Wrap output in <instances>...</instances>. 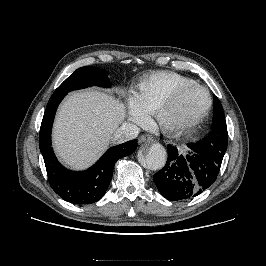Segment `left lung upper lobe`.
Masks as SVG:
<instances>
[{
	"instance_id": "left-lung-upper-lobe-1",
	"label": "left lung upper lobe",
	"mask_w": 266,
	"mask_h": 266,
	"mask_svg": "<svg viewBox=\"0 0 266 266\" xmlns=\"http://www.w3.org/2000/svg\"><path fill=\"white\" fill-rule=\"evenodd\" d=\"M213 111L212 131L206 138L200 141L203 145L207 146L213 144L217 140L228 142L227 126L222 105L216 96L214 97Z\"/></svg>"
}]
</instances>
